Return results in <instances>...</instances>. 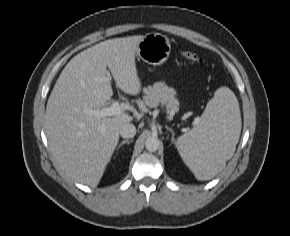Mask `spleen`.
Instances as JSON below:
<instances>
[{
	"mask_svg": "<svg viewBox=\"0 0 290 236\" xmlns=\"http://www.w3.org/2000/svg\"><path fill=\"white\" fill-rule=\"evenodd\" d=\"M238 100L228 87L216 90L198 124L181 135L176 147L198 180L220 173L231 159L241 133Z\"/></svg>",
	"mask_w": 290,
	"mask_h": 236,
	"instance_id": "spleen-1",
	"label": "spleen"
}]
</instances>
